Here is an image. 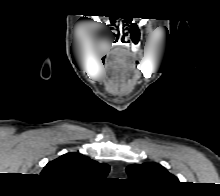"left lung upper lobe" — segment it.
Segmentation results:
<instances>
[{
    "mask_svg": "<svg viewBox=\"0 0 220 196\" xmlns=\"http://www.w3.org/2000/svg\"><path fill=\"white\" fill-rule=\"evenodd\" d=\"M131 180L148 186L171 187L178 179L157 163L134 164L126 169Z\"/></svg>",
    "mask_w": 220,
    "mask_h": 196,
    "instance_id": "5c2ea615",
    "label": "left lung upper lobe"
}]
</instances>
